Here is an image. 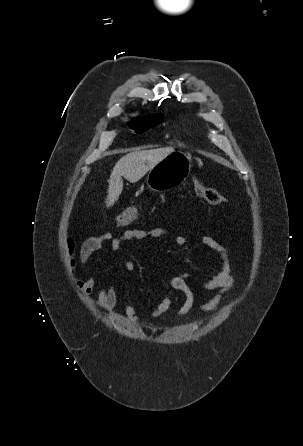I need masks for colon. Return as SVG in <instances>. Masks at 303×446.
<instances>
[{
	"label": "colon",
	"instance_id": "5ec220e1",
	"mask_svg": "<svg viewBox=\"0 0 303 446\" xmlns=\"http://www.w3.org/2000/svg\"><path fill=\"white\" fill-rule=\"evenodd\" d=\"M193 189L196 196L210 205H222L226 199L214 188L205 186L198 179H193ZM140 207L133 206L119 213L114 219L116 227H123L130 224L140 214Z\"/></svg>",
	"mask_w": 303,
	"mask_h": 446
}]
</instances>
